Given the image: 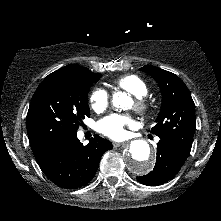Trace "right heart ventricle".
<instances>
[{
	"label": "right heart ventricle",
	"instance_id": "obj_1",
	"mask_svg": "<svg viewBox=\"0 0 221 221\" xmlns=\"http://www.w3.org/2000/svg\"><path fill=\"white\" fill-rule=\"evenodd\" d=\"M116 84L138 98L145 96L148 91L145 82L136 75L123 76L116 81Z\"/></svg>",
	"mask_w": 221,
	"mask_h": 221
}]
</instances>
